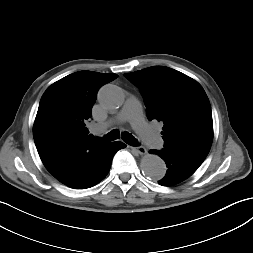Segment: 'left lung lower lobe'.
<instances>
[{"instance_id": "left-lung-lower-lobe-1", "label": "left lung lower lobe", "mask_w": 253, "mask_h": 253, "mask_svg": "<svg viewBox=\"0 0 253 253\" xmlns=\"http://www.w3.org/2000/svg\"><path fill=\"white\" fill-rule=\"evenodd\" d=\"M150 153L159 155L165 160L168 168L163 179L158 181L162 186H171L190 177L202 164L204 159L163 149L161 151L150 150Z\"/></svg>"}]
</instances>
